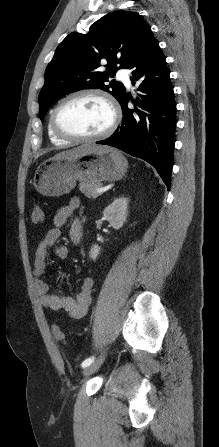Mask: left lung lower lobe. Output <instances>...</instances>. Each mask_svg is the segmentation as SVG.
Segmentation results:
<instances>
[{
    "instance_id": "obj_1",
    "label": "left lung lower lobe",
    "mask_w": 219,
    "mask_h": 447,
    "mask_svg": "<svg viewBox=\"0 0 219 447\" xmlns=\"http://www.w3.org/2000/svg\"><path fill=\"white\" fill-rule=\"evenodd\" d=\"M132 70V83L142 79L137 90L140 98L134 101L138 108L129 109V95L120 101L123 111L122 124L114 134L98 144L110 145L141 158L155 167L167 188L170 189L172 161L175 144L176 104L166 57L158 41L151 34L128 63Z\"/></svg>"
}]
</instances>
